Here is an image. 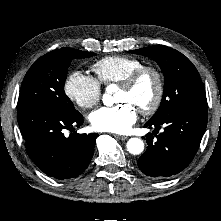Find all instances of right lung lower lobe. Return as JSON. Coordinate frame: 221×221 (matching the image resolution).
<instances>
[{
    "label": "right lung lower lobe",
    "instance_id": "98d812e1",
    "mask_svg": "<svg viewBox=\"0 0 221 221\" xmlns=\"http://www.w3.org/2000/svg\"><path fill=\"white\" fill-rule=\"evenodd\" d=\"M17 118L27 152L45 174L62 180L77 177L86 169L99 135H64L65 129L82 125L80 113L66 115L47 106L29 105L18 109Z\"/></svg>",
    "mask_w": 221,
    "mask_h": 221
}]
</instances>
